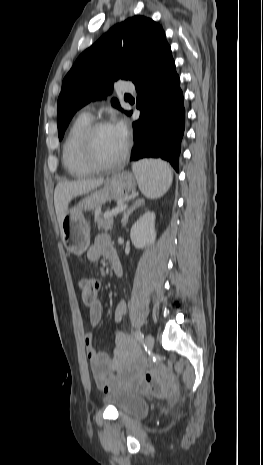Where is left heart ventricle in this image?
Here are the masks:
<instances>
[{
	"instance_id": "b2bd125f",
	"label": "left heart ventricle",
	"mask_w": 263,
	"mask_h": 465,
	"mask_svg": "<svg viewBox=\"0 0 263 465\" xmlns=\"http://www.w3.org/2000/svg\"><path fill=\"white\" fill-rule=\"evenodd\" d=\"M125 141L113 126L100 129L94 137V152L102 162H111L123 151Z\"/></svg>"
}]
</instances>
